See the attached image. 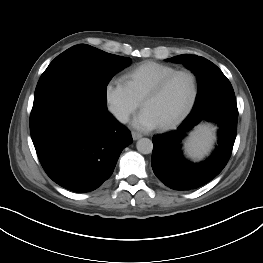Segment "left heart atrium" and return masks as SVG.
<instances>
[{"label": "left heart atrium", "mask_w": 263, "mask_h": 263, "mask_svg": "<svg viewBox=\"0 0 263 263\" xmlns=\"http://www.w3.org/2000/svg\"><path fill=\"white\" fill-rule=\"evenodd\" d=\"M133 126L144 131L155 129L159 123L150 111L143 109L133 120Z\"/></svg>", "instance_id": "1"}]
</instances>
